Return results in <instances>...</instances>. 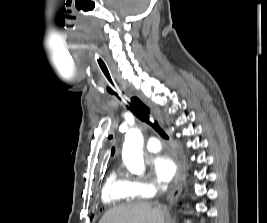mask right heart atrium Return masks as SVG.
Wrapping results in <instances>:
<instances>
[{
  "instance_id": "right-heart-atrium-1",
  "label": "right heart atrium",
  "mask_w": 267,
  "mask_h": 223,
  "mask_svg": "<svg viewBox=\"0 0 267 223\" xmlns=\"http://www.w3.org/2000/svg\"><path fill=\"white\" fill-rule=\"evenodd\" d=\"M132 184L136 196L139 197L153 196L158 189L156 184L142 180H135L132 182Z\"/></svg>"
}]
</instances>
